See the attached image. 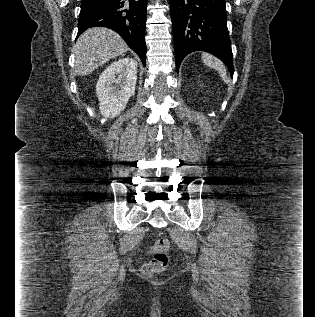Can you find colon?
<instances>
[{"label": "colon", "instance_id": "obj_1", "mask_svg": "<svg viewBox=\"0 0 315 317\" xmlns=\"http://www.w3.org/2000/svg\"><path fill=\"white\" fill-rule=\"evenodd\" d=\"M170 242L167 238H159L152 246V259L145 263L142 272L145 276L151 277L166 270L169 263Z\"/></svg>", "mask_w": 315, "mask_h": 317}]
</instances>
